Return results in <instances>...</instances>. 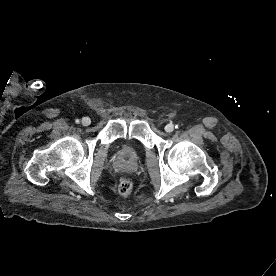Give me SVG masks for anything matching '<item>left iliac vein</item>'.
Returning a JSON list of instances; mask_svg holds the SVG:
<instances>
[{
  "instance_id": "left-iliac-vein-1",
  "label": "left iliac vein",
  "mask_w": 276,
  "mask_h": 276,
  "mask_svg": "<svg viewBox=\"0 0 276 276\" xmlns=\"http://www.w3.org/2000/svg\"><path fill=\"white\" fill-rule=\"evenodd\" d=\"M173 130H174V125H173V124L169 123V124H167V125L165 126V131H166V132L170 133V132H172Z\"/></svg>"
}]
</instances>
